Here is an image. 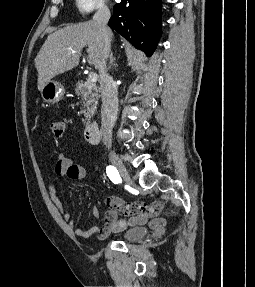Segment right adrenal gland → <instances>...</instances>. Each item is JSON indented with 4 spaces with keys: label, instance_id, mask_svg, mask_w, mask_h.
<instances>
[{
    "label": "right adrenal gland",
    "instance_id": "obj_1",
    "mask_svg": "<svg viewBox=\"0 0 255 287\" xmlns=\"http://www.w3.org/2000/svg\"><path fill=\"white\" fill-rule=\"evenodd\" d=\"M109 58H110V64H113L114 60H116V58H113V52H111Z\"/></svg>",
    "mask_w": 255,
    "mask_h": 287
}]
</instances>
